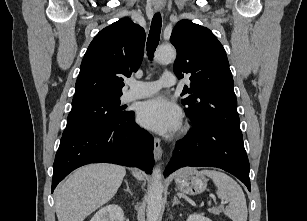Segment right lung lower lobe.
Here are the masks:
<instances>
[{"label":"right lung lower lobe","mask_w":307,"mask_h":221,"mask_svg":"<svg viewBox=\"0 0 307 221\" xmlns=\"http://www.w3.org/2000/svg\"><path fill=\"white\" fill-rule=\"evenodd\" d=\"M153 137L129 111L121 119L63 135L53 164L52 192L74 169L89 163H115L152 172Z\"/></svg>","instance_id":"obj_1"}]
</instances>
